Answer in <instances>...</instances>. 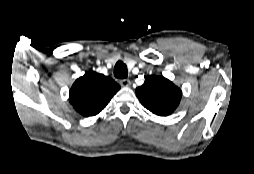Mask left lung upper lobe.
I'll list each match as a JSON object with an SVG mask.
<instances>
[{"label":"left lung upper lobe","mask_w":254,"mask_h":174,"mask_svg":"<svg viewBox=\"0 0 254 174\" xmlns=\"http://www.w3.org/2000/svg\"><path fill=\"white\" fill-rule=\"evenodd\" d=\"M142 105L159 116L170 115L179 105L182 92L165 77L148 76L135 90Z\"/></svg>","instance_id":"1"}]
</instances>
